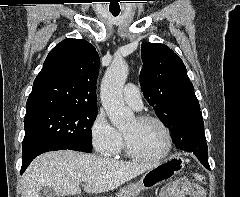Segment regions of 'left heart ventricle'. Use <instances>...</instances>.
Segmentation results:
<instances>
[{"instance_id":"1","label":"left heart ventricle","mask_w":240,"mask_h":197,"mask_svg":"<svg viewBox=\"0 0 240 197\" xmlns=\"http://www.w3.org/2000/svg\"><path fill=\"white\" fill-rule=\"evenodd\" d=\"M123 133L129 138L132 146L146 156H157L166 148V135L162 127L153 121L140 122L132 119Z\"/></svg>"}]
</instances>
